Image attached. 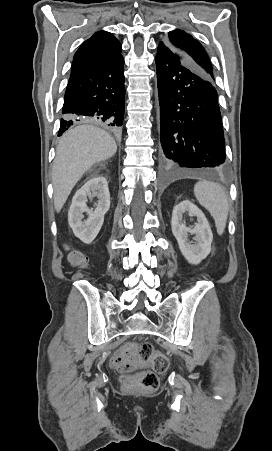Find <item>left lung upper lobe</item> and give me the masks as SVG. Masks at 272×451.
Segmentation results:
<instances>
[{
	"label": "left lung upper lobe",
	"instance_id": "5c2ea615",
	"mask_svg": "<svg viewBox=\"0 0 272 451\" xmlns=\"http://www.w3.org/2000/svg\"><path fill=\"white\" fill-rule=\"evenodd\" d=\"M164 41L173 49L186 54L204 75L210 80H214L213 68L208 55L202 45L197 40L193 39L191 35L186 34L181 30H175L169 32L168 37Z\"/></svg>",
	"mask_w": 272,
	"mask_h": 451
}]
</instances>
